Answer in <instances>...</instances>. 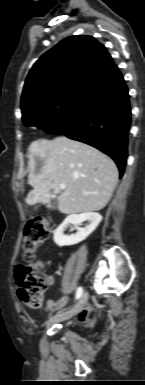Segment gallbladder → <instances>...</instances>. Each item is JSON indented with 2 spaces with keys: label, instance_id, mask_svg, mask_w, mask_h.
Here are the masks:
<instances>
[{
  "label": "gallbladder",
  "instance_id": "obj_1",
  "mask_svg": "<svg viewBox=\"0 0 145 385\" xmlns=\"http://www.w3.org/2000/svg\"><path fill=\"white\" fill-rule=\"evenodd\" d=\"M47 207H49L51 209H57V207H58V200H57V198H52L50 200V202L48 203Z\"/></svg>",
  "mask_w": 145,
  "mask_h": 385
}]
</instances>
